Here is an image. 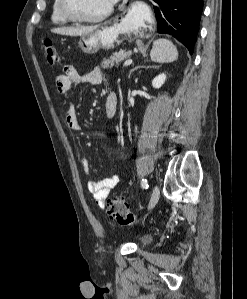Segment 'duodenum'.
Instances as JSON below:
<instances>
[{"label": "duodenum", "mask_w": 247, "mask_h": 299, "mask_svg": "<svg viewBox=\"0 0 247 299\" xmlns=\"http://www.w3.org/2000/svg\"><path fill=\"white\" fill-rule=\"evenodd\" d=\"M116 113V104L114 103H107L105 105V115L108 119H111L114 117Z\"/></svg>", "instance_id": "1"}]
</instances>
